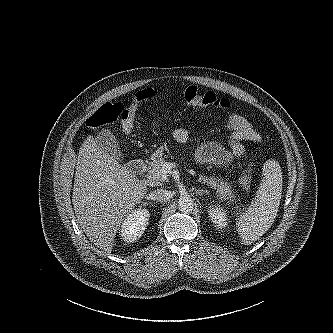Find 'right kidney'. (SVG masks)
<instances>
[{
    "instance_id": "1",
    "label": "right kidney",
    "mask_w": 333,
    "mask_h": 333,
    "mask_svg": "<svg viewBox=\"0 0 333 333\" xmlns=\"http://www.w3.org/2000/svg\"><path fill=\"white\" fill-rule=\"evenodd\" d=\"M149 217L147 209H138L127 215L120 229L122 239L127 243L139 239L146 229Z\"/></svg>"
}]
</instances>
